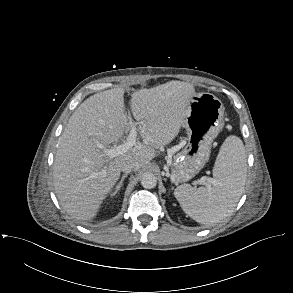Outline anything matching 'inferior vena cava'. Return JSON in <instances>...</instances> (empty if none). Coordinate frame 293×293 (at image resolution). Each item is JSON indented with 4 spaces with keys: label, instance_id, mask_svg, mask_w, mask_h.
<instances>
[{
    "label": "inferior vena cava",
    "instance_id": "602c4592",
    "mask_svg": "<svg viewBox=\"0 0 293 293\" xmlns=\"http://www.w3.org/2000/svg\"><path fill=\"white\" fill-rule=\"evenodd\" d=\"M134 164L130 161H126L123 163L121 170L125 173H130L131 171L134 170Z\"/></svg>",
    "mask_w": 293,
    "mask_h": 293
}]
</instances>
